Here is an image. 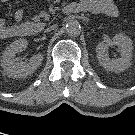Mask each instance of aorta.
Here are the masks:
<instances>
[{
    "label": "aorta",
    "mask_w": 135,
    "mask_h": 135,
    "mask_svg": "<svg viewBox=\"0 0 135 135\" xmlns=\"http://www.w3.org/2000/svg\"><path fill=\"white\" fill-rule=\"evenodd\" d=\"M66 33L70 36H76L81 32V26L78 21L70 20L65 26Z\"/></svg>",
    "instance_id": "aorta-1"
}]
</instances>
